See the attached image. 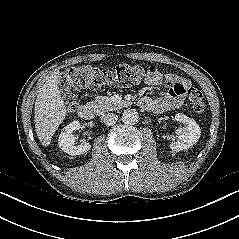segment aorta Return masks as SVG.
<instances>
[{
    "label": "aorta",
    "instance_id": "aorta-1",
    "mask_svg": "<svg viewBox=\"0 0 239 239\" xmlns=\"http://www.w3.org/2000/svg\"><path fill=\"white\" fill-rule=\"evenodd\" d=\"M139 115L134 109H126L122 114V120L125 124L133 125L138 122Z\"/></svg>",
    "mask_w": 239,
    "mask_h": 239
}]
</instances>
